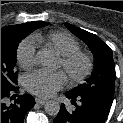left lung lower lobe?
<instances>
[{"mask_svg":"<svg viewBox=\"0 0 123 123\" xmlns=\"http://www.w3.org/2000/svg\"><path fill=\"white\" fill-rule=\"evenodd\" d=\"M66 97L76 106L68 112L62 104L53 123H104L113 100L98 95H76L67 92ZM79 101V104H76Z\"/></svg>","mask_w":123,"mask_h":123,"instance_id":"0a47b994","label":"left lung lower lobe"}]
</instances>
